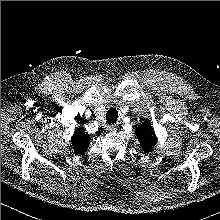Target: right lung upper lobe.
Listing matches in <instances>:
<instances>
[{
    "mask_svg": "<svg viewBox=\"0 0 220 220\" xmlns=\"http://www.w3.org/2000/svg\"><path fill=\"white\" fill-rule=\"evenodd\" d=\"M71 142L76 154L82 155L89 146L90 136L81 128L75 130Z\"/></svg>",
    "mask_w": 220,
    "mask_h": 220,
    "instance_id": "obj_1",
    "label": "right lung upper lobe"
}]
</instances>
